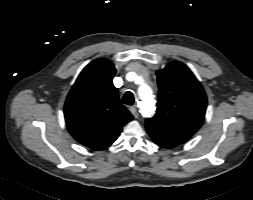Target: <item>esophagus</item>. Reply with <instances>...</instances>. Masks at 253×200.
I'll return each instance as SVG.
<instances>
[{"mask_svg": "<svg viewBox=\"0 0 253 200\" xmlns=\"http://www.w3.org/2000/svg\"><path fill=\"white\" fill-rule=\"evenodd\" d=\"M130 112L132 113V115L135 117V118H138L139 117V113L137 111V109L135 107H131L130 108Z\"/></svg>", "mask_w": 253, "mask_h": 200, "instance_id": "34e87169", "label": "esophagus"}]
</instances>
